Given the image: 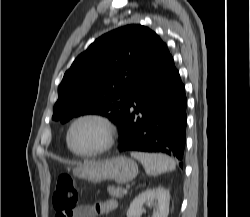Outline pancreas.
<instances>
[{
	"mask_svg": "<svg viewBox=\"0 0 250 217\" xmlns=\"http://www.w3.org/2000/svg\"><path fill=\"white\" fill-rule=\"evenodd\" d=\"M107 190L109 195L115 198H122L124 195V189L122 187L109 186Z\"/></svg>",
	"mask_w": 250,
	"mask_h": 217,
	"instance_id": "pancreas-1",
	"label": "pancreas"
}]
</instances>
